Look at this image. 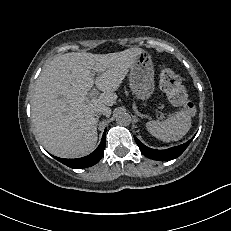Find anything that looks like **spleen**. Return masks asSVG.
I'll list each match as a JSON object with an SVG mask.
<instances>
[{"label": "spleen", "mask_w": 231, "mask_h": 231, "mask_svg": "<svg viewBox=\"0 0 231 231\" xmlns=\"http://www.w3.org/2000/svg\"><path fill=\"white\" fill-rule=\"evenodd\" d=\"M191 122V112L181 110L163 122H147L146 128L152 136L163 142L178 141L187 134L191 127Z\"/></svg>", "instance_id": "spleen-1"}]
</instances>
